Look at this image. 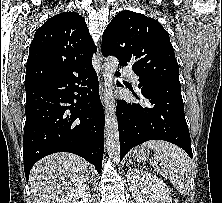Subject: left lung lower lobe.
<instances>
[{
    "mask_svg": "<svg viewBox=\"0 0 222 203\" xmlns=\"http://www.w3.org/2000/svg\"><path fill=\"white\" fill-rule=\"evenodd\" d=\"M120 76V73L117 72ZM119 87L122 85L117 83ZM142 105L117 101L120 160L133 147L148 140H165L192 158L191 139L184 116L181 85L170 81L139 83ZM137 99H140L134 93Z\"/></svg>",
    "mask_w": 222,
    "mask_h": 203,
    "instance_id": "left-lung-lower-lobe-1",
    "label": "left lung lower lobe"
}]
</instances>
